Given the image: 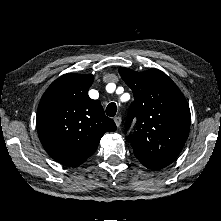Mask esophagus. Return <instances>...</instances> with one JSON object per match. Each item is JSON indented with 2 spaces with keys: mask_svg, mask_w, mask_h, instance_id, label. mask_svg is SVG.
<instances>
[{
  "mask_svg": "<svg viewBox=\"0 0 221 221\" xmlns=\"http://www.w3.org/2000/svg\"><path fill=\"white\" fill-rule=\"evenodd\" d=\"M114 121H115L116 126L119 128L122 122L121 117L120 116L115 117Z\"/></svg>",
  "mask_w": 221,
  "mask_h": 221,
  "instance_id": "1",
  "label": "esophagus"
}]
</instances>
